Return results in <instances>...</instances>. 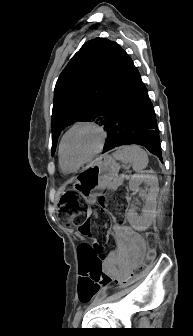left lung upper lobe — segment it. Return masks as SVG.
Wrapping results in <instances>:
<instances>
[{
	"instance_id": "left-lung-upper-lobe-1",
	"label": "left lung upper lobe",
	"mask_w": 193,
	"mask_h": 336,
	"mask_svg": "<svg viewBox=\"0 0 193 336\" xmlns=\"http://www.w3.org/2000/svg\"><path fill=\"white\" fill-rule=\"evenodd\" d=\"M127 53L106 38L85 43L60 74L51 119L52 154L60 132L75 121L104 126L114 102Z\"/></svg>"
}]
</instances>
